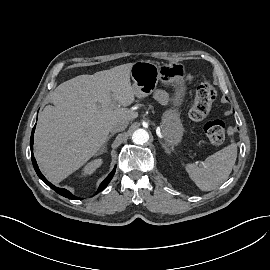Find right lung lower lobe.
Listing matches in <instances>:
<instances>
[{"label":"right lung lower lobe","mask_w":270,"mask_h":270,"mask_svg":"<svg viewBox=\"0 0 270 270\" xmlns=\"http://www.w3.org/2000/svg\"><path fill=\"white\" fill-rule=\"evenodd\" d=\"M34 131H35V126L32 130V134H31V139H30V146H31V159H32V163H33V166H34V169L37 173V175L39 176V178L44 182L46 183L50 188H52L54 191H56L57 193H59L60 195L66 197V198H69V199H80L76 196H74L73 194H71L68 190L66 189H62V188H58V187H55L53 184H51L49 181H47V179L43 176V174L40 172L39 168H38V165L36 163V160L34 158V155H33V134H34ZM115 169L116 167L113 169V171L107 176V178L100 184L99 186V189H98V192H101L103 189L106 188V186L108 185V183L111 181L114 173H115ZM97 192V193H98Z\"/></svg>","instance_id":"right-lung-lower-lobe-1"}]
</instances>
